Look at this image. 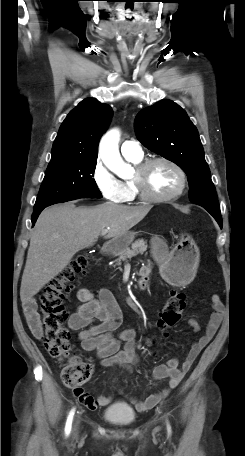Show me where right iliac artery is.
Masks as SVG:
<instances>
[{
    "label": "right iliac artery",
    "mask_w": 245,
    "mask_h": 456,
    "mask_svg": "<svg viewBox=\"0 0 245 456\" xmlns=\"http://www.w3.org/2000/svg\"><path fill=\"white\" fill-rule=\"evenodd\" d=\"M73 416H74V409H72L70 411L69 416H68L67 421H66V426H65V434L66 435H69V433L71 431V424H72Z\"/></svg>",
    "instance_id": "obj_1"
}]
</instances>
